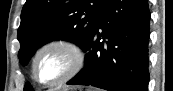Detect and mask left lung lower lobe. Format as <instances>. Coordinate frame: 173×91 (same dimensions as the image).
<instances>
[{"label": "left lung lower lobe", "mask_w": 173, "mask_h": 91, "mask_svg": "<svg viewBox=\"0 0 173 91\" xmlns=\"http://www.w3.org/2000/svg\"><path fill=\"white\" fill-rule=\"evenodd\" d=\"M148 0H108L89 39L84 68L67 84L108 91H147Z\"/></svg>", "instance_id": "0a47b994"}]
</instances>
